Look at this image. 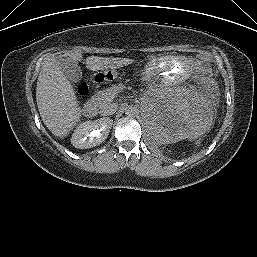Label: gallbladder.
I'll list each match as a JSON object with an SVG mask.
<instances>
[{
  "mask_svg": "<svg viewBox=\"0 0 257 257\" xmlns=\"http://www.w3.org/2000/svg\"><path fill=\"white\" fill-rule=\"evenodd\" d=\"M56 60L64 76L72 81L78 82L82 78V70L77 63L69 61L63 54L57 55Z\"/></svg>",
  "mask_w": 257,
  "mask_h": 257,
  "instance_id": "obj_1",
  "label": "gallbladder"
}]
</instances>
